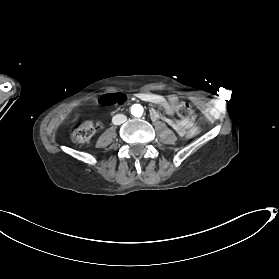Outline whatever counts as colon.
Listing matches in <instances>:
<instances>
[{
  "mask_svg": "<svg viewBox=\"0 0 279 279\" xmlns=\"http://www.w3.org/2000/svg\"><path fill=\"white\" fill-rule=\"evenodd\" d=\"M127 101V96L122 93H108L100 98V104L106 107L122 105ZM176 112L180 118L184 120H191L195 117L194 111L189 104L180 102L176 106ZM99 128L98 123L83 122L75 126L72 131V140L76 143H84L88 141ZM201 132L200 127L195 126L191 128L188 133V138L196 137Z\"/></svg>",
  "mask_w": 279,
  "mask_h": 279,
  "instance_id": "colon-1",
  "label": "colon"
}]
</instances>
